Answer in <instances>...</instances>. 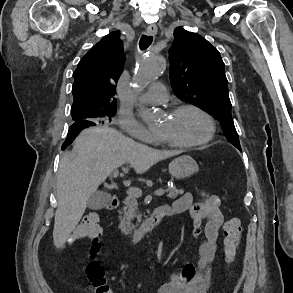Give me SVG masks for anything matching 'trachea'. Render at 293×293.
Masks as SVG:
<instances>
[{
	"label": "trachea",
	"mask_w": 293,
	"mask_h": 293,
	"mask_svg": "<svg viewBox=\"0 0 293 293\" xmlns=\"http://www.w3.org/2000/svg\"><path fill=\"white\" fill-rule=\"evenodd\" d=\"M153 37L152 36H147L143 35L140 39L139 46L141 49H147L150 44L152 43Z\"/></svg>",
	"instance_id": "trachea-1"
}]
</instances>
